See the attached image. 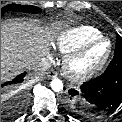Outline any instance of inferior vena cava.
Instances as JSON below:
<instances>
[{"instance_id": "obj_1", "label": "inferior vena cava", "mask_w": 122, "mask_h": 122, "mask_svg": "<svg viewBox=\"0 0 122 122\" xmlns=\"http://www.w3.org/2000/svg\"><path fill=\"white\" fill-rule=\"evenodd\" d=\"M51 67L50 63L48 60L43 59L35 63L33 66V70L37 72H45Z\"/></svg>"}]
</instances>
